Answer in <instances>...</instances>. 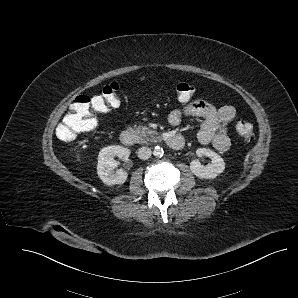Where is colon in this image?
<instances>
[{
  "instance_id": "obj_1",
  "label": "colon",
  "mask_w": 298,
  "mask_h": 298,
  "mask_svg": "<svg viewBox=\"0 0 298 298\" xmlns=\"http://www.w3.org/2000/svg\"><path fill=\"white\" fill-rule=\"evenodd\" d=\"M174 90L181 102H188L195 94L194 86L185 82L178 83ZM119 104V85L116 82L106 84L95 96H77L57 128L58 137L69 141L80 133L92 130L97 123L95 113H107ZM235 130L243 140L253 137V126L247 121L238 120Z\"/></svg>"
}]
</instances>
